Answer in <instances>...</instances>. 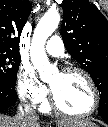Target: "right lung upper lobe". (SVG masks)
I'll return each instance as SVG.
<instances>
[{"instance_id": "cb5924a9", "label": "right lung upper lobe", "mask_w": 108, "mask_h": 127, "mask_svg": "<svg viewBox=\"0 0 108 127\" xmlns=\"http://www.w3.org/2000/svg\"><path fill=\"white\" fill-rule=\"evenodd\" d=\"M31 4L22 0H0V51L18 53L22 29Z\"/></svg>"}]
</instances>
